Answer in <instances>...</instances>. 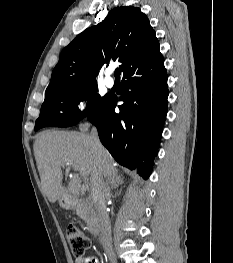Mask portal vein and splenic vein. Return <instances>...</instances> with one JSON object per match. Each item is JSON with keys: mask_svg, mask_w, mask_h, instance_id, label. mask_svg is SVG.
Listing matches in <instances>:
<instances>
[{"mask_svg": "<svg viewBox=\"0 0 233 263\" xmlns=\"http://www.w3.org/2000/svg\"><path fill=\"white\" fill-rule=\"evenodd\" d=\"M73 167H74V169H76V170L78 169L76 165H73Z\"/></svg>", "mask_w": 233, "mask_h": 263, "instance_id": "portal-vein-and-splenic-vein-1", "label": "portal vein and splenic vein"}]
</instances>
